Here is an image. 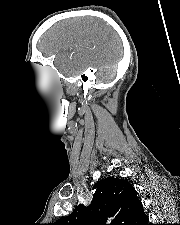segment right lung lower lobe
Masks as SVG:
<instances>
[{
	"instance_id": "right-lung-lower-lobe-1",
	"label": "right lung lower lobe",
	"mask_w": 180,
	"mask_h": 225,
	"mask_svg": "<svg viewBox=\"0 0 180 225\" xmlns=\"http://www.w3.org/2000/svg\"><path fill=\"white\" fill-rule=\"evenodd\" d=\"M142 225H150V224L148 223V217H147V220H145V221L142 223Z\"/></svg>"
}]
</instances>
